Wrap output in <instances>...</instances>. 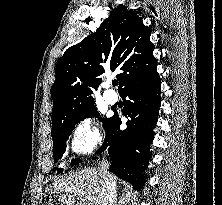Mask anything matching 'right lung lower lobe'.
<instances>
[{"mask_svg":"<svg viewBox=\"0 0 222 205\" xmlns=\"http://www.w3.org/2000/svg\"><path fill=\"white\" fill-rule=\"evenodd\" d=\"M160 93L161 80L156 67L125 84L119 94L125 102L122 113L130 117L127 128L120 130L121 119L114 114L105 129L104 144L96 151L100 154L108 149L113 174L131 183L137 190L147 179L144 172L152 156L149 147L158 120Z\"/></svg>","mask_w":222,"mask_h":205,"instance_id":"right-lung-lower-lobe-1","label":"right lung lower lobe"}]
</instances>
